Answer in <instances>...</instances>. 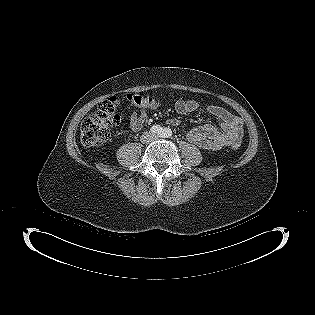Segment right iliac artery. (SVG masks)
Masks as SVG:
<instances>
[{"label": "right iliac artery", "instance_id": "1", "mask_svg": "<svg viewBox=\"0 0 315 315\" xmlns=\"http://www.w3.org/2000/svg\"><path fill=\"white\" fill-rule=\"evenodd\" d=\"M163 128L160 126V125H153L151 128H150V131L153 133V134H157V135H160L161 132H162Z\"/></svg>", "mask_w": 315, "mask_h": 315}]
</instances>
